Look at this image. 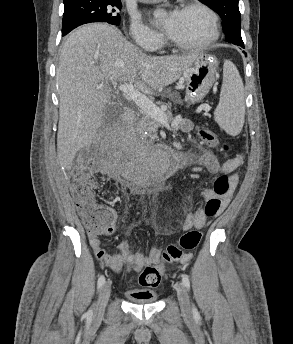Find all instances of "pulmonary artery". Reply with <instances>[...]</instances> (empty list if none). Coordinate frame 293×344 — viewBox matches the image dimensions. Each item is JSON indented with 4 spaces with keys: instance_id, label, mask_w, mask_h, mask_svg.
Masks as SVG:
<instances>
[{
    "instance_id": "1",
    "label": "pulmonary artery",
    "mask_w": 293,
    "mask_h": 344,
    "mask_svg": "<svg viewBox=\"0 0 293 344\" xmlns=\"http://www.w3.org/2000/svg\"><path fill=\"white\" fill-rule=\"evenodd\" d=\"M143 3H148V2H157V1H160V0H139Z\"/></svg>"
}]
</instances>
